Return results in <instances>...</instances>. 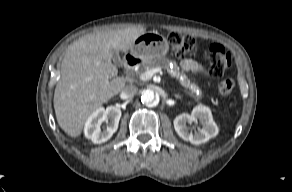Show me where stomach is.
Wrapping results in <instances>:
<instances>
[{"mask_svg":"<svg viewBox=\"0 0 292 192\" xmlns=\"http://www.w3.org/2000/svg\"><path fill=\"white\" fill-rule=\"evenodd\" d=\"M168 49L169 45L166 38L153 31L141 35L134 41L131 54L145 62H150L164 57Z\"/></svg>","mask_w":292,"mask_h":192,"instance_id":"stomach-1","label":"stomach"}]
</instances>
